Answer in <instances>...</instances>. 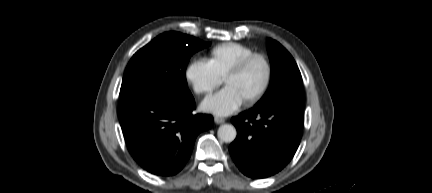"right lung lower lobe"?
Wrapping results in <instances>:
<instances>
[{
  "label": "right lung lower lobe",
  "mask_w": 432,
  "mask_h": 193,
  "mask_svg": "<svg viewBox=\"0 0 432 193\" xmlns=\"http://www.w3.org/2000/svg\"><path fill=\"white\" fill-rule=\"evenodd\" d=\"M194 109L192 95L174 99L147 92L121 101L120 124L133 158L155 175L178 173L197 135L213 125L211 115L194 114Z\"/></svg>",
  "instance_id": "1"
}]
</instances>
